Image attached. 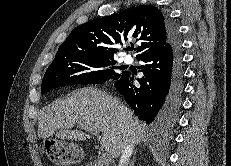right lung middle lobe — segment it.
Wrapping results in <instances>:
<instances>
[{
    "instance_id": "obj_1",
    "label": "right lung middle lobe",
    "mask_w": 231,
    "mask_h": 166,
    "mask_svg": "<svg viewBox=\"0 0 231 166\" xmlns=\"http://www.w3.org/2000/svg\"><path fill=\"white\" fill-rule=\"evenodd\" d=\"M115 63L114 57L95 54L55 59L43 77L41 93L64 85L103 83L117 78L120 75L112 70L118 68Z\"/></svg>"
}]
</instances>
